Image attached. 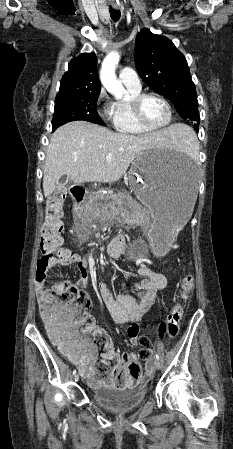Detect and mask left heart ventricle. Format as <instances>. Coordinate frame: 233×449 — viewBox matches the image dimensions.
Masks as SVG:
<instances>
[{
  "label": "left heart ventricle",
  "mask_w": 233,
  "mask_h": 449,
  "mask_svg": "<svg viewBox=\"0 0 233 449\" xmlns=\"http://www.w3.org/2000/svg\"><path fill=\"white\" fill-rule=\"evenodd\" d=\"M144 119L151 125L158 126L166 122L168 111L162 101L157 98H146L142 103Z\"/></svg>",
  "instance_id": "1"
}]
</instances>
